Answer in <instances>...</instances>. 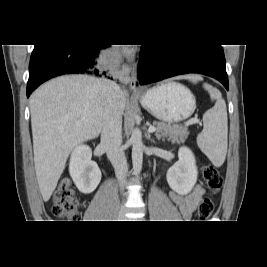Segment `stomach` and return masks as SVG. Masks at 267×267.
<instances>
[{
    "label": "stomach",
    "mask_w": 267,
    "mask_h": 267,
    "mask_svg": "<svg viewBox=\"0 0 267 267\" xmlns=\"http://www.w3.org/2000/svg\"><path fill=\"white\" fill-rule=\"evenodd\" d=\"M140 102L155 118L169 124L189 118L196 108L192 92L172 81L147 90L140 96Z\"/></svg>",
    "instance_id": "1"
}]
</instances>
